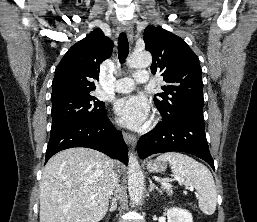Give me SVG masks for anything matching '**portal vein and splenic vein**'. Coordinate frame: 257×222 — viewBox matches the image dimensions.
I'll use <instances>...</instances> for the list:
<instances>
[{"label":"portal vein and splenic vein","mask_w":257,"mask_h":222,"mask_svg":"<svg viewBox=\"0 0 257 222\" xmlns=\"http://www.w3.org/2000/svg\"><path fill=\"white\" fill-rule=\"evenodd\" d=\"M162 185L164 186H167V187H171V185L169 183H166V182H162ZM95 197L94 196H91L90 199H94Z\"/></svg>","instance_id":"portal-vein-and-splenic-vein-1"}]
</instances>
